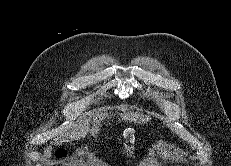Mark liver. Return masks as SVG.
Returning a JSON list of instances; mask_svg holds the SVG:
<instances>
[{
  "mask_svg": "<svg viewBox=\"0 0 231 166\" xmlns=\"http://www.w3.org/2000/svg\"><path fill=\"white\" fill-rule=\"evenodd\" d=\"M122 118V121L124 122H133L135 124H144L150 120V116L144 115L142 113H123L120 115ZM106 118H109L108 113H100L95 116L93 127L90 128V125L87 121H80L78 124L74 125L72 129H70L68 132L63 133L59 138L54 139L53 142H51V145H62L64 143L76 141L78 139L84 138L88 132L93 137H96L99 134L101 122L105 120ZM51 145L47 147L45 150L44 156L45 158H49L51 156Z\"/></svg>",
  "mask_w": 231,
  "mask_h": 166,
  "instance_id": "6515ba94",
  "label": "liver"
}]
</instances>
